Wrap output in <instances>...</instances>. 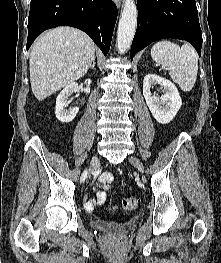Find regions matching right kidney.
<instances>
[{
  "mask_svg": "<svg viewBox=\"0 0 221 263\" xmlns=\"http://www.w3.org/2000/svg\"><path fill=\"white\" fill-rule=\"evenodd\" d=\"M78 90L77 83H71L67 85L57 96L55 114L57 119L62 123L71 122L77 115L79 108L74 107L73 109L67 110V100L74 92Z\"/></svg>",
  "mask_w": 221,
  "mask_h": 263,
  "instance_id": "right-kidney-1",
  "label": "right kidney"
}]
</instances>
